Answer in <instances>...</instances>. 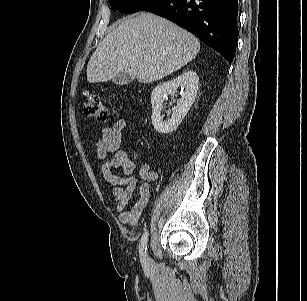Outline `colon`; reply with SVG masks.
Returning a JSON list of instances; mask_svg holds the SVG:
<instances>
[{
  "mask_svg": "<svg viewBox=\"0 0 307 301\" xmlns=\"http://www.w3.org/2000/svg\"><path fill=\"white\" fill-rule=\"evenodd\" d=\"M84 110L86 114L100 121L108 119V111L100 96L94 92H87L84 95Z\"/></svg>",
  "mask_w": 307,
  "mask_h": 301,
  "instance_id": "colon-1",
  "label": "colon"
}]
</instances>
